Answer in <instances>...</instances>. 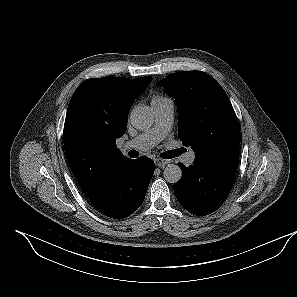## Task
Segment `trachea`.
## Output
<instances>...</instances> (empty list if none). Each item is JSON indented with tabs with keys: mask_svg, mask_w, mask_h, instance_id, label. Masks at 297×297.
Listing matches in <instances>:
<instances>
[{
	"mask_svg": "<svg viewBox=\"0 0 297 297\" xmlns=\"http://www.w3.org/2000/svg\"><path fill=\"white\" fill-rule=\"evenodd\" d=\"M181 153H182L181 150H170V151L164 152L161 156L162 158H165V159H171Z\"/></svg>",
	"mask_w": 297,
	"mask_h": 297,
	"instance_id": "1",
	"label": "trachea"
}]
</instances>
